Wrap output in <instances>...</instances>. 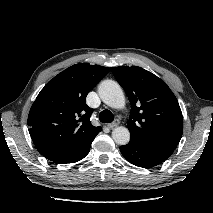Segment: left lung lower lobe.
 <instances>
[{"instance_id":"left-lung-lower-lobe-1","label":"left lung lower lobe","mask_w":213,"mask_h":213,"mask_svg":"<svg viewBox=\"0 0 213 213\" xmlns=\"http://www.w3.org/2000/svg\"><path fill=\"white\" fill-rule=\"evenodd\" d=\"M120 151L127 161L143 168H150L161 164L170 156L147 149L131 140L127 145L121 146Z\"/></svg>"}]
</instances>
